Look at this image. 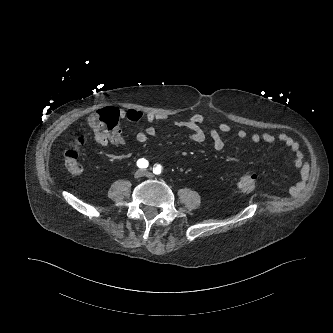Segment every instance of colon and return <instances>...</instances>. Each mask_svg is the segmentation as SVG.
Masks as SVG:
<instances>
[{
    "label": "colon",
    "instance_id": "5ec220e1",
    "mask_svg": "<svg viewBox=\"0 0 333 333\" xmlns=\"http://www.w3.org/2000/svg\"><path fill=\"white\" fill-rule=\"evenodd\" d=\"M118 122L119 111L114 107L102 108L91 114L86 121L90 133L79 134L64 153L63 161L66 171L70 174H79L82 171V165L79 161V152L82 146L88 143L91 136L98 138L114 134L117 131ZM256 180L255 173L245 172L240 177L238 186L241 191L249 193L253 191Z\"/></svg>",
    "mask_w": 333,
    "mask_h": 333
}]
</instances>
